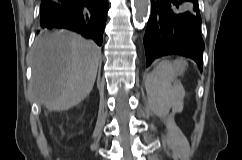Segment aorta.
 I'll return each mask as SVG.
<instances>
[{"label": "aorta", "instance_id": "1", "mask_svg": "<svg viewBox=\"0 0 242 160\" xmlns=\"http://www.w3.org/2000/svg\"><path fill=\"white\" fill-rule=\"evenodd\" d=\"M135 19L137 22H143L150 13V0H132Z\"/></svg>", "mask_w": 242, "mask_h": 160}]
</instances>
